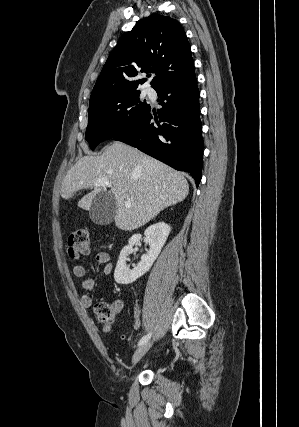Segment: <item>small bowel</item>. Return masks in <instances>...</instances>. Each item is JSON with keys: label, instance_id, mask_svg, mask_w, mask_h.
I'll list each match as a JSON object with an SVG mask.
<instances>
[{"label": "small bowel", "instance_id": "c3829d8e", "mask_svg": "<svg viewBox=\"0 0 299 427\" xmlns=\"http://www.w3.org/2000/svg\"><path fill=\"white\" fill-rule=\"evenodd\" d=\"M97 263L103 265V274L109 275L113 270V265L110 262L109 255L105 252H100L95 257ZM73 274L82 279V287L87 291H91L95 288V279L87 273L85 267L81 264H74L72 266ZM81 303L84 308H90L93 305L92 296L85 294L81 298ZM124 307V302L120 299L115 300L111 306V311L114 315L119 314ZM133 323L135 328H139L141 325V311L138 307L134 308L133 311Z\"/></svg>", "mask_w": 299, "mask_h": 427}]
</instances>
